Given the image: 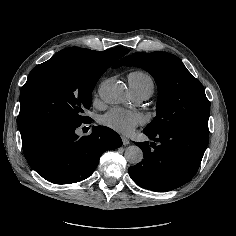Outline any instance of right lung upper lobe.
<instances>
[{
	"mask_svg": "<svg viewBox=\"0 0 236 236\" xmlns=\"http://www.w3.org/2000/svg\"><path fill=\"white\" fill-rule=\"evenodd\" d=\"M78 49L84 52L87 56L109 67L119 58H121L122 56H124L129 52V50L125 48H112L101 52L84 48H78Z\"/></svg>",
	"mask_w": 236,
	"mask_h": 236,
	"instance_id": "right-lung-upper-lobe-1",
	"label": "right lung upper lobe"
}]
</instances>
